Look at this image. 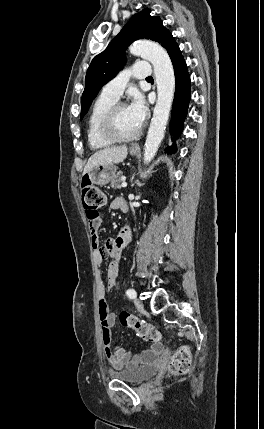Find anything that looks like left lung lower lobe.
Wrapping results in <instances>:
<instances>
[{"mask_svg":"<svg viewBox=\"0 0 264 429\" xmlns=\"http://www.w3.org/2000/svg\"><path fill=\"white\" fill-rule=\"evenodd\" d=\"M168 52L174 66L176 88L169 125L170 133L173 137V145L167 147L166 151L173 153L176 151V139L183 130V123L187 116L190 101V76L181 51L170 32H167L160 43Z\"/></svg>","mask_w":264,"mask_h":429,"instance_id":"obj_1","label":"left lung lower lobe"}]
</instances>
